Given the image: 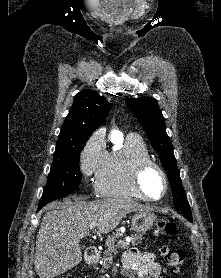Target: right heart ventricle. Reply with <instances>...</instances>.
I'll use <instances>...</instances> for the list:
<instances>
[{
    "label": "right heart ventricle",
    "instance_id": "obj_1",
    "mask_svg": "<svg viewBox=\"0 0 221 278\" xmlns=\"http://www.w3.org/2000/svg\"><path fill=\"white\" fill-rule=\"evenodd\" d=\"M142 159H150L146 143L136 134L128 135L123 147L107 152L104 166L96 176L97 191L106 197L143 199L132 184L133 166Z\"/></svg>",
    "mask_w": 221,
    "mask_h": 278
}]
</instances>
